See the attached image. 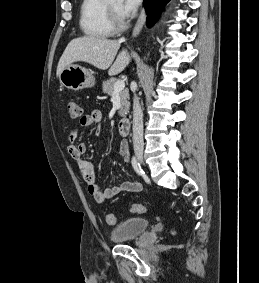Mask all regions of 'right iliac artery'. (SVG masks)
Returning <instances> with one entry per match:
<instances>
[{
    "label": "right iliac artery",
    "mask_w": 259,
    "mask_h": 283,
    "mask_svg": "<svg viewBox=\"0 0 259 283\" xmlns=\"http://www.w3.org/2000/svg\"><path fill=\"white\" fill-rule=\"evenodd\" d=\"M132 166L134 170L137 172L138 175H143L144 171L142 170L140 164L137 162L136 158L133 156L132 157Z\"/></svg>",
    "instance_id": "82829eb1"
}]
</instances>
